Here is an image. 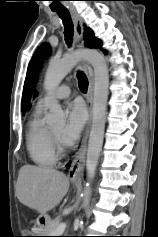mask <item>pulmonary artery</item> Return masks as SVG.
Wrapping results in <instances>:
<instances>
[{
    "label": "pulmonary artery",
    "instance_id": "1",
    "mask_svg": "<svg viewBox=\"0 0 158 237\" xmlns=\"http://www.w3.org/2000/svg\"><path fill=\"white\" fill-rule=\"evenodd\" d=\"M71 94V88L67 84L60 85L58 88H56L50 96H45L41 98L38 101V106H47L50 98H55V99H64L69 97Z\"/></svg>",
    "mask_w": 158,
    "mask_h": 237
}]
</instances>
